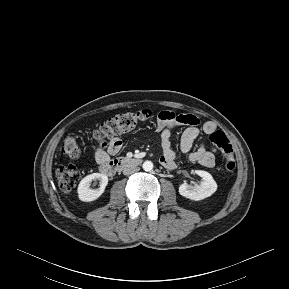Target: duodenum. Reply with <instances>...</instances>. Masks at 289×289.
<instances>
[{
  "label": "duodenum",
  "mask_w": 289,
  "mask_h": 289,
  "mask_svg": "<svg viewBox=\"0 0 289 289\" xmlns=\"http://www.w3.org/2000/svg\"><path fill=\"white\" fill-rule=\"evenodd\" d=\"M141 163L142 159L137 157H120L100 164V171L108 176H112L116 172L126 168L139 166Z\"/></svg>",
  "instance_id": "obj_1"
}]
</instances>
